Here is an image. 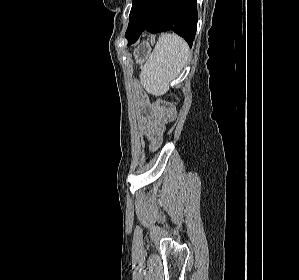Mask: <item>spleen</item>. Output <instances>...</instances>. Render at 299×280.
Instances as JSON below:
<instances>
[{
	"mask_svg": "<svg viewBox=\"0 0 299 280\" xmlns=\"http://www.w3.org/2000/svg\"><path fill=\"white\" fill-rule=\"evenodd\" d=\"M188 57L189 47L181 37L175 34L162 35L142 68L141 84L152 95L165 94L170 82L185 66Z\"/></svg>",
	"mask_w": 299,
	"mask_h": 280,
	"instance_id": "spleen-1",
	"label": "spleen"
}]
</instances>
